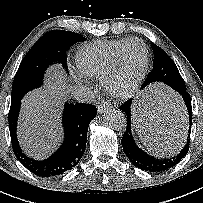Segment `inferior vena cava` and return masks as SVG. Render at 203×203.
<instances>
[{"mask_svg":"<svg viewBox=\"0 0 203 203\" xmlns=\"http://www.w3.org/2000/svg\"><path fill=\"white\" fill-rule=\"evenodd\" d=\"M73 97L79 102L89 103L93 100V93L92 91L82 85L75 86L72 90Z\"/></svg>","mask_w":203,"mask_h":203,"instance_id":"obj_1","label":"inferior vena cava"}]
</instances>
